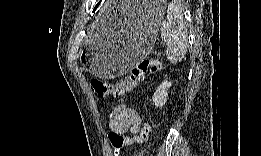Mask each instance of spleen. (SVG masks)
Returning a JSON list of instances; mask_svg holds the SVG:
<instances>
[{
    "instance_id": "obj_1",
    "label": "spleen",
    "mask_w": 261,
    "mask_h": 156,
    "mask_svg": "<svg viewBox=\"0 0 261 156\" xmlns=\"http://www.w3.org/2000/svg\"><path fill=\"white\" fill-rule=\"evenodd\" d=\"M188 32L182 11L176 4H170L166 19H162L161 38L167 41L166 55L172 63L182 60L187 52Z\"/></svg>"
}]
</instances>
